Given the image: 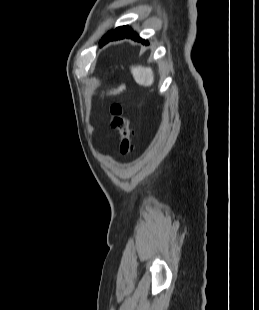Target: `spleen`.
<instances>
[{
	"label": "spleen",
	"mask_w": 259,
	"mask_h": 310,
	"mask_svg": "<svg viewBox=\"0 0 259 310\" xmlns=\"http://www.w3.org/2000/svg\"><path fill=\"white\" fill-rule=\"evenodd\" d=\"M131 74L133 75L136 83L139 85L148 87L151 86L154 82V72L150 67H144L141 65L132 66Z\"/></svg>",
	"instance_id": "obj_1"
}]
</instances>
